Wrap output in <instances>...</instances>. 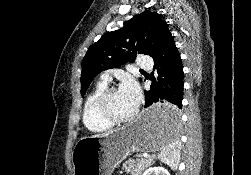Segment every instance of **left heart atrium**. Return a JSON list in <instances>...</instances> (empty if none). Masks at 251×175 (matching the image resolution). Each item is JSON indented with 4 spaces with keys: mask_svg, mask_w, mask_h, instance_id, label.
<instances>
[{
    "mask_svg": "<svg viewBox=\"0 0 251 175\" xmlns=\"http://www.w3.org/2000/svg\"><path fill=\"white\" fill-rule=\"evenodd\" d=\"M119 94L123 102L132 111H135L138 108L141 101V92L137 83L134 80H124L119 88Z\"/></svg>",
    "mask_w": 251,
    "mask_h": 175,
    "instance_id": "39dd6f15",
    "label": "left heart atrium"
}]
</instances>
